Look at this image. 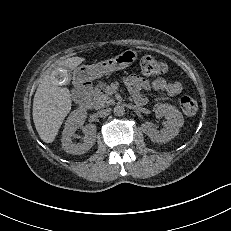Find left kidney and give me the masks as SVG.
<instances>
[{
	"mask_svg": "<svg viewBox=\"0 0 231 231\" xmlns=\"http://www.w3.org/2000/svg\"><path fill=\"white\" fill-rule=\"evenodd\" d=\"M153 111L157 117L165 116L167 121L164 122L162 130H156L151 123L142 125L145 134L153 142L166 143L178 135L180 127L184 124V118L181 112L176 107L170 104L158 103L154 106Z\"/></svg>",
	"mask_w": 231,
	"mask_h": 231,
	"instance_id": "left-kidney-1",
	"label": "left kidney"
}]
</instances>
